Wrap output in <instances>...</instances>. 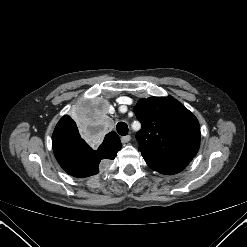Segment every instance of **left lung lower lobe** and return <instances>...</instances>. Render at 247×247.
<instances>
[{
    "mask_svg": "<svg viewBox=\"0 0 247 247\" xmlns=\"http://www.w3.org/2000/svg\"><path fill=\"white\" fill-rule=\"evenodd\" d=\"M148 166L158 171L162 174H176L182 171L189 162H171V161H160V160H151V159H144Z\"/></svg>",
    "mask_w": 247,
    "mask_h": 247,
    "instance_id": "0a47b994",
    "label": "left lung lower lobe"
}]
</instances>
